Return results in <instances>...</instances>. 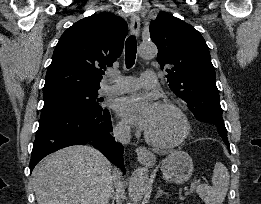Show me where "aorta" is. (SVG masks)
Instances as JSON below:
<instances>
[{"instance_id":"1","label":"aorta","mask_w":261,"mask_h":204,"mask_svg":"<svg viewBox=\"0 0 261 204\" xmlns=\"http://www.w3.org/2000/svg\"><path fill=\"white\" fill-rule=\"evenodd\" d=\"M157 47L153 43H142L138 48L139 55L144 59H150L157 55ZM149 170L147 167L136 169L129 181V195L133 202L142 199L147 186Z\"/></svg>"}]
</instances>
